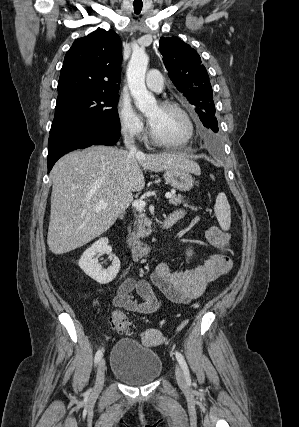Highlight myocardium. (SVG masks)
I'll return each instance as SVG.
<instances>
[{"instance_id":"obj_1","label":"myocardium","mask_w":299,"mask_h":427,"mask_svg":"<svg viewBox=\"0 0 299 427\" xmlns=\"http://www.w3.org/2000/svg\"><path fill=\"white\" fill-rule=\"evenodd\" d=\"M159 106L163 107V108H170V109L176 110L184 118V120L187 124V134L181 140H174V141L165 140V139H162L159 136H157V134L154 132V130L150 124L149 134H150L151 140L156 145H159L162 147H168V148L179 147V146H183V145L189 143L194 136L195 127H194V122H193L190 114L188 113V111L181 104H179L175 101H171V100L161 101L159 103Z\"/></svg>"}]
</instances>
